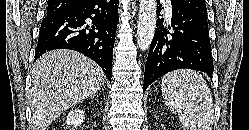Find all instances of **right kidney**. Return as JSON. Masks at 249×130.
<instances>
[{"mask_svg":"<svg viewBox=\"0 0 249 130\" xmlns=\"http://www.w3.org/2000/svg\"><path fill=\"white\" fill-rule=\"evenodd\" d=\"M83 120H84L83 110L75 109L68 113L66 117V125L67 127L68 126L77 127L81 125V123H83Z\"/></svg>","mask_w":249,"mask_h":130,"instance_id":"ca27d5eb","label":"right kidney"}]
</instances>
